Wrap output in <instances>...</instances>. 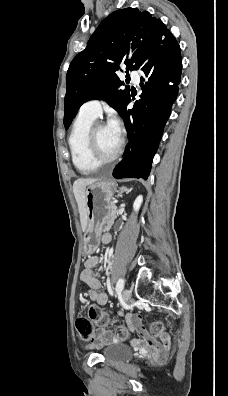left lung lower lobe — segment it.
I'll return each instance as SVG.
<instances>
[{
  "mask_svg": "<svg viewBox=\"0 0 228 396\" xmlns=\"http://www.w3.org/2000/svg\"><path fill=\"white\" fill-rule=\"evenodd\" d=\"M149 58L141 70L148 81L141 82V100L132 110H127L130 97L120 115L125 123L129 143L123 160L113 170V176L121 178L147 179L154 154L162 137L163 128L169 118L171 106L178 93L182 59L180 47L173 35L165 32L154 38L145 54ZM144 81V77H141Z\"/></svg>",
  "mask_w": 228,
  "mask_h": 396,
  "instance_id": "0a47b994",
  "label": "left lung lower lobe"
}]
</instances>
